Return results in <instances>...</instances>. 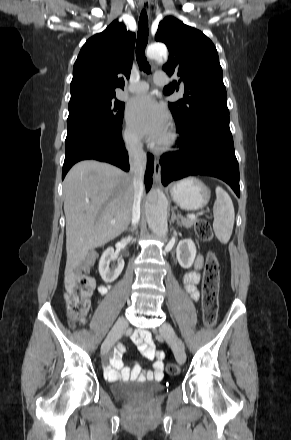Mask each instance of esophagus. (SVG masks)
Masks as SVG:
<instances>
[{"mask_svg": "<svg viewBox=\"0 0 291 440\" xmlns=\"http://www.w3.org/2000/svg\"><path fill=\"white\" fill-rule=\"evenodd\" d=\"M149 7H150V3H149V1H147V0H142V1L140 2V9H141V10H145L146 12H148ZM160 173H161V167H160V164H159V159H158V157H156V158L154 159V174H153V176H154V180H155L156 182H158L159 179H160Z\"/></svg>", "mask_w": 291, "mask_h": 440, "instance_id": "esophagus-1", "label": "esophagus"}]
</instances>
